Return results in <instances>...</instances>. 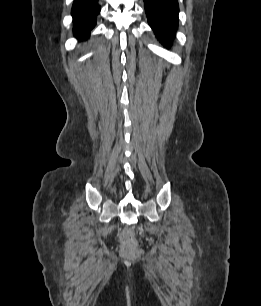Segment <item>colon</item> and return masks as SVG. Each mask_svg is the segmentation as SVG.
<instances>
[{
	"label": "colon",
	"instance_id": "obj_1",
	"mask_svg": "<svg viewBox=\"0 0 261 306\" xmlns=\"http://www.w3.org/2000/svg\"><path fill=\"white\" fill-rule=\"evenodd\" d=\"M121 252L124 256H134L139 252V246L131 229H125L120 233Z\"/></svg>",
	"mask_w": 261,
	"mask_h": 306
}]
</instances>
